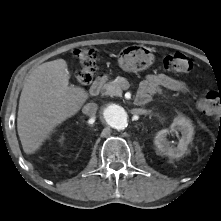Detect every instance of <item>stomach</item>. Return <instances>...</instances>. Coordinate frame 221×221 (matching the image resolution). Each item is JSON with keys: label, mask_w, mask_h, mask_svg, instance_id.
<instances>
[{"label": "stomach", "mask_w": 221, "mask_h": 221, "mask_svg": "<svg viewBox=\"0 0 221 221\" xmlns=\"http://www.w3.org/2000/svg\"><path fill=\"white\" fill-rule=\"evenodd\" d=\"M153 60L152 50L144 46H127L118 56V64L126 72L143 71L151 66Z\"/></svg>", "instance_id": "obj_1"}]
</instances>
